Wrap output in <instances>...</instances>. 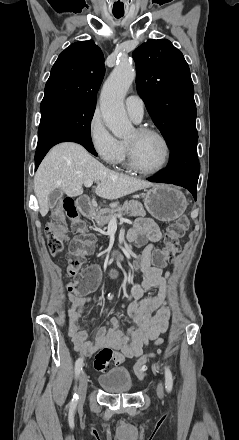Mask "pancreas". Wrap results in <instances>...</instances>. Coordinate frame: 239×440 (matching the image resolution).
<instances>
[{
  "label": "pancreas",
  "mask_w": 239,
  "mask_h": 440,
  "mask_svg": "<svg viewBox=\"0 0 239 440\" xmlns=\"http://www.w3.org/2000/svg\"><path fill=\"white\" fill-rule=\"evenodd\" d=\"M123 214H129V216H146V212L143 208V204L138 202V200H129V202H124L122 206H117V202H114L113 208L111 210H99V208H93V220L97 224V228H103L106 224H109L112 218H119Z\"/></svg>",
  "instance_id": "cf45deb5"
}]
</instances>
